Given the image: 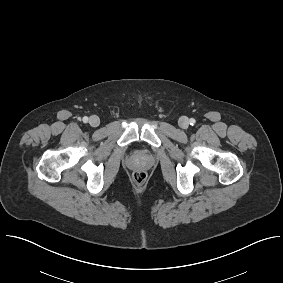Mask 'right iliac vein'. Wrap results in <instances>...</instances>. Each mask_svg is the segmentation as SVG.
<instances>
[{
  "label": "right iliac vein",
  "instance_id": "obj_1",
  "mask_svg": "<svg viewBox=\"0 0 283 283\" xmlns=\"http://www.w3.org/2000/svg\"><path fill=\"white\" fill-rule=\"evenodd\" d=\"M89 124H90V126H92V127H97V126H99V124H100V119H99V117H98V116H95V115L91 116V117L89 118Z\"/></svg>",
  "mask_w": 283,
  "mask_h": 283
}]
</instances>
